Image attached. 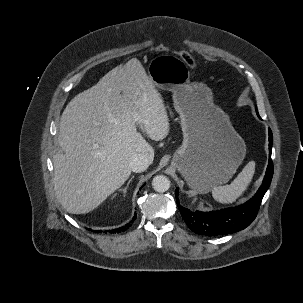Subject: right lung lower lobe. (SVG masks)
<instances>
[{"label": "right lung lower lobe", "instance_id": "obj_1", "mask_svg": "<svg viewBox=\"0 0 303 303\" xmlns=\"http://www.w3.org/2000/svg\"><path fill=\"white\" fill-rule=\"evenodd\" d=\"M136 219V216H134L133 217V220H135ZM131 226V223H128V224H126L125 226H123V227H120V228H117V229H114V230H112V231H109V232H111V233H119V232H121V231H125V230H127L129 227ZM97 232V231H96ZM98 232H102L101 230H99Z\"/></svg>", "mask_w": 303, "mask_h": 303}]
</instances>
